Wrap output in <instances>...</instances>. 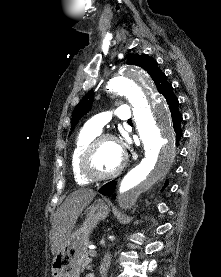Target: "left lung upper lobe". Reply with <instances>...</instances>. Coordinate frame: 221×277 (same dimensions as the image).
Returning <instances> with one entry per match:
<instances>
[{
  "mask_svg": "<svg viewBox=\"0 0 221 277\" xmlns=\"http://www.w3.org/2000/svg\"><path fill=\"white\" fill-rule=\"evenodd\" d=\"M127 64L137 65L146 70L161 94H164L165 90L170 86L166 75L158 68L157 62L149 56L133 54L128 58ZM93 100L94 92L91 90L75 107L72 113L71 130L75 128L80 118L90 110Z\"/></svg>",
  "mask_w": 221,
  "mask_h": 277,
  "instance_id": "left-lung-upper-lobe-1",
  "label": "left lung upper lobe"
}]
</instances>
